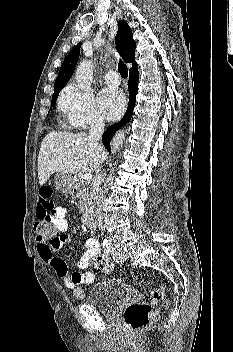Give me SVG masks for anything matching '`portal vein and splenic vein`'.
Listing matches in <instances>:
<instances>
[{
    "mask_svg": "<svg viewBox=\"0 0 233 352\" xmlns=\"http://www.w3.org/2000/svg\"><path fill=\"white\" fill-rule=\"evenodd\" d=\"M84 179L90 181L92 179V174L90 172L84 174Z\"/></svg>",
    "mask_w": 233,
    "mask_h": 352,
    "instance_id": "obj_1",
    "label": "portal vein and splenic vein"
}]
</instances>
